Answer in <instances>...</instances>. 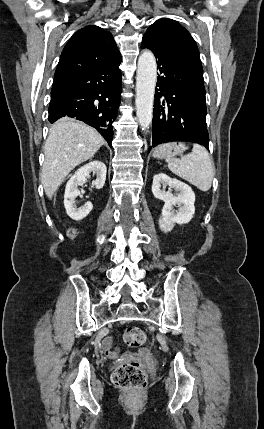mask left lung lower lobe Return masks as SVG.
Segmentation results:
<instances>
[{
    "label": "left lung lower lobe",
    "mask_w": 264,
    "mask_h": 429,
    "mask_svg": "<svg viewBox=\"0 0 264 429\" xmlns=\"http://www.w3.org/2000/svg\"><path fill=\"white\" fill-rule=\"evenodd\" d=\"M141 47L154 53L159 68L149 150L172 141L195 142L208 149L203 74L181 50L152 35L143 36Z\"/></svg>",
    "instance_id": "0a47b994"
}]
</instances>
